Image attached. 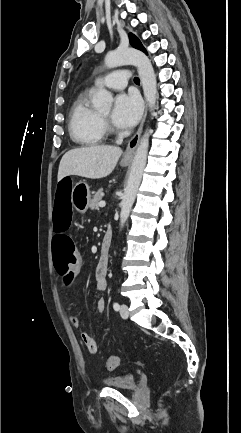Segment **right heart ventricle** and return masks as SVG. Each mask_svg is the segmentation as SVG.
<instances>
[{
  "label": "right heart ventricle",
  "instance_id": "1",
  "mask_svg": "<svg viewBox=\"0 0 241 433\" xmlns=\"http://www.w3.org/2000/svg\"><path fill=\"white\" fill-rule=\"evenodd\" d=\"M89 99L88 92L80 94L69 114L70 137L75 143L84 146L100 144L106 138L100 114L91 106Z\"/></svg>",
  "mask_w": 241,
  "mask_h": 433
}]
</instances>
